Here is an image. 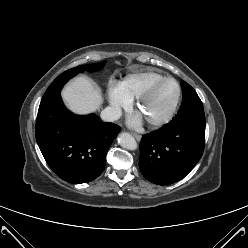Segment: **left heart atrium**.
<instances>
[{
	"label": "left heart atrium",
	"mask_w": 248,
	"mask_h": 248,
	"mask_svg": "<svg viewBox=\"0 0 248 248\" xmlns=\"http://www.w3.org/2000/svg\"><path fill=\"white\" fill-rule=\"evenodd\" d=\"M128 123L133 127H139L142 123V119L138 115H133L128 119Z\"/></svg>",
	"instance_id": "39dd6f15"
}]
</instances>
